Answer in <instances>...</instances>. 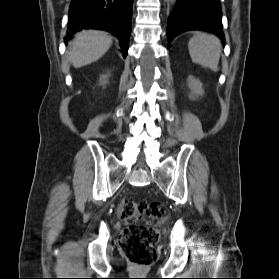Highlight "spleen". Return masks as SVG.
Masks as SVG:
<instances>
[{
  "mask_svg": "<svg viewBox=\"0 0 279 279\" xmlns=\"http://www.w3.org/2000/svg\"><path fill=\"white\" fill-rule=\"evenodd\" d=\"M189 54L194 63L213 71L219 70L220 40L207 33H196L188 43Z\"/></svg>",
  "mask_w": 279,
  "mask_h": 279,
  "instance_id": "obj_1",
  "label": "spleen"
}]
</instances>
